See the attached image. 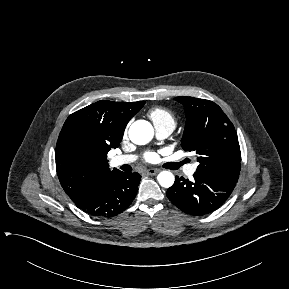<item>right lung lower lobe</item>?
I'll return each mask as SVG.
<instances>
[{
  "instance_id": "1",
  "label": "right lung lower lobe",
  "mask_w": 289,
  "mask_h": 289,
  "mask_svg": "<svg viewBox=\"0 0 289 289\" xmlns=\"http://www.w3.org/2000/svg\"><path fill=\"white\" fill-rule=\"evenodd\" d=\"M140 179L136 172H115L73 202L90 215L115 216L133 202Z\"/></svg>"
}]
</instances>
